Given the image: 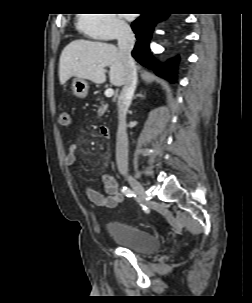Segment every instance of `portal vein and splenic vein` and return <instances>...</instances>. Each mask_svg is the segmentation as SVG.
Returning a JSON list of instances; mask_svg holds the SVG:
<instances>
[{"mask_svg":"<svg viewBox=\"0 0 252 303\" xmlns=\"http://www.w3.org/2000/svg\"><path fill=\"white\" fill-rule=\"evenodd\" d=\"M114 95V90L112 88H108L106 91H105V96L106 97H112Z\"/></svg>","mask_w":252,"mask_h":303,"instance_id":"18ae733b","label":"portal vein and splenic vein"}]
</instances>
